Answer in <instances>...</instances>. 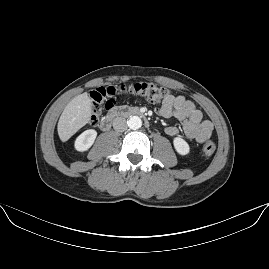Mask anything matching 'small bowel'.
Here are the masks:
<instances>
[{
    "instance_id": "small-bowel-1",
    "label": "small bowel",
    "mask_w": 269,
    "mask_h": 269,
    "mask_svg": "<svg viewBox=\"0 0 269 269\" xmlns=\"http://www.w3.org/2000/svg\"><path fill=\"white\" fill-rule=\"evenodd\" d=\"M157 113L165 118L174 117L181 122L185 135L198 143H204L213 133V124L203 119L201 111L184 96L169 94L157 109ZM166 133L176 136L178 129L169 126Z\"/></svg>"
}]
</instances>
